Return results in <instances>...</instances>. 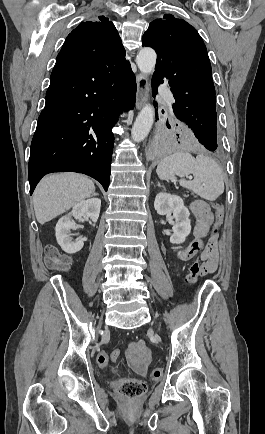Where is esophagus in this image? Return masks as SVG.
I'll return each instance as SVG.
<instances>
[{"label": "esophagus", "mask_w": 265, "mask_h": 434, "mask_svg": "<svg viewBox=\"0 0 265 434\" xmlns=\"http://www.w3.org/2000/svg\"><path fill=\"white\" fill-rule=\"evenodd\" d=\"M136 108L139 110L146 103L149 94L148 77L143 74H139L136 77Z\"/></svg>", "instance_id": "1"}]
</instances>
